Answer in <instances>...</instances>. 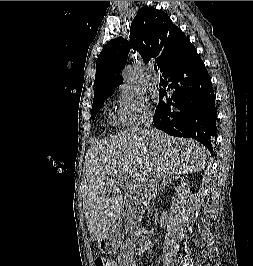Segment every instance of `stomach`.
Wrapping results in <instances>:
<instances>
[{
    "mask_svg": "<svg viewBox=\"0 0 253 266\" xmlns=\"http://www.w3.org/2000/svg\"><path fill=\"white\" fill-rule=\"evenodd\" d=\"M117 244L118 241L109 233L98 240V247L104 253L112 252Z\"/></svg>",
    "mask_w": 253,
    "mask_h": 266,
    "instance_id": "0dacf381",
    "label": "stomach"
}]
</instances>
